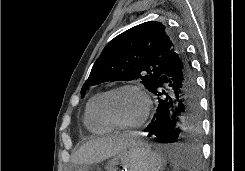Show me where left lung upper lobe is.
I'll return each instance as SVG.
<instances>
[{
	"label": "left lung upper lobe",
	"mask_w": 245,
	"mask_h": 171,
	"mask_svg": "<svg viewBox=\"0 0 245 171\" xmlns=\"http://www.w3.org/2000/svg\"><path fill=\"white\" fill-rule=\"evenodd\" d=\"M181 46L160 22H145L115 37L95 61L81 97L92 86L108 81L141 80L151 92L163 73L168 55Z\"/></svg>",
	"instance_id": "1"
}]
</instances>
